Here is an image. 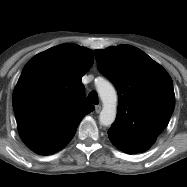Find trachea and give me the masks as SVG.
Segmentation results:
<instances>
[{"label":"trachea","mask_w":187,"mask_h":187,"mask_svg":"<svg viewBox=\"0 0 187 187\" xmlns=\"http://www.w3.org/2000/svg\"><path fill=\"white\" fill-rule=\"evenodd\" d=\"M86 103L98 104V94L96 91H91L86 99Z\"/></svg>","instance_id":"1"}]
</instances>
